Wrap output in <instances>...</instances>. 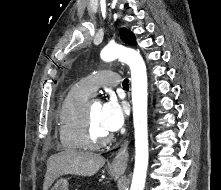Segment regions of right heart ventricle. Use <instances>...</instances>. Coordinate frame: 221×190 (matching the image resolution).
<instances>
[{"label": "right heart ventricle", "instance_id": "right-heart-ventricle-1", "mask_svg": "<svg viewBox=\"0 0 221 190\" xmlns=\"http://www.w3.org/2000/svg\"><path fill=\"white\" fill-rule=\"evenodd\" d=\"M91 94L80 84L72 86L58 110V133L62 147L68 151L87 148L83 137L85 102Z\"/></svg>", "mask_w": 221, "mask_h": 190}]
</instances>
